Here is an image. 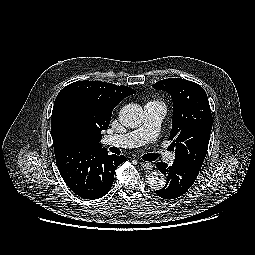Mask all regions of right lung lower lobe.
Listing matches in <instances>:
<instances>
[{"label":"right lung lower lobe","instance_id":"98d812e1","mask_svg":"<svg viewBox=\"0 0 255 255\" xmlns=\"http://www.w3.org/2000/svg\"><path fill=\"white\" fill-rule=\"evenodd\" d=\"M59 172L67 186L84 199L106 195L114 172L125 156L108 155L106 149L63 148L55 151Z\"/></svg>","mask_w":255,"mask_h":255}]
</instances>
